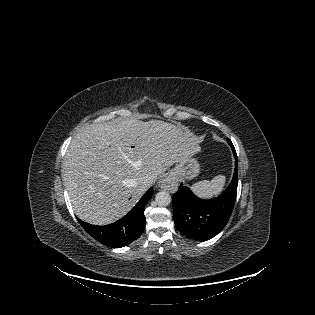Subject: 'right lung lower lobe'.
Masks as SVG:
<instances>
[{
    "label": "right lung lower lobe",
    "mask_w": 315,
    "mask_h": 315,
    "mask_svg": "<svg viewBox=\"0 0 315 315\" xmlns=\"http://www.w3.org/2000/svg\"><path fill=\"white\" fill-rule=\"evenodd\" d=\"M152 195L153 188H150L127 215L112 224L95 226L80 219L78 221L89 235L103 245L124 247L141 236L146 222L144 207Z\"/></svg>",
    "instance_id": "obj_1"
}]
</instances>
